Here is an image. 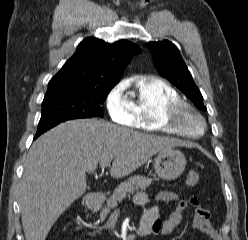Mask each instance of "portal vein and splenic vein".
Segmentation results:
<instances>
[{"instance_id":"18ae733b","label":"portal vein and splenic vein","mask_w":248,"mask_h":240,"mask_svg":"<svg viewBox=\"0 0 248 240\" xmlns=\"http://www.w3.org/2000/svg\"><path fill=\"white\" fill-rule=\"evenodd\" d=\"M111 163V160L104 161L103 163L100 164L102 168L109 166Z\"/></svg>"}]
</instances>
